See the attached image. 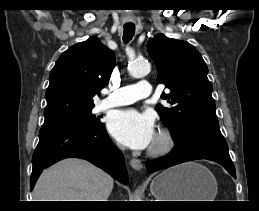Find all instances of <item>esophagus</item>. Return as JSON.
I'll return each instance as SVG.
<instances>
[{
  "label": "esophagus",
  "instance_id": "obj_1",
  "mask_svg": "<svg viewBox=\"0 0 259 211\" xmlns=\"http://www.w3.org/2000/svg\"><path fill=\"white\" fill-rule=\"evenodd\" d=\"M130 164H131V167L135 170H141L142 168V162L141 160L139 159H135L133 158L131 161H130Z\"/></svg>",
  "mask_w": 259,
  "mask_h": 211
}]
</instances>
